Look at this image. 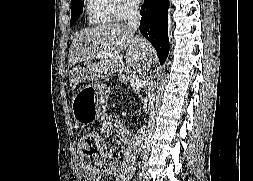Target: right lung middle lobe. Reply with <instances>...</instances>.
<instances>
[{"label":"right lung middle lobe","mask_w":253,"mask_h":181,"mask_svg":"<svg viewBox=\"0 0 253 181\" xmlns=\"http://www.w3.org/2000/svg\"><path fill=\"white\" fill-rule=\"evenodd\" d=\"M83 11V0H71V22L70 24L73 25Z\"/></svg>","instance_id":"right-lung-middle-lobe-1"}]
</instances>
